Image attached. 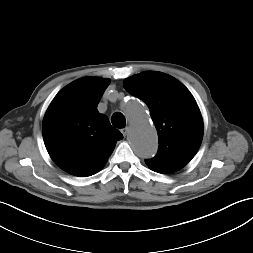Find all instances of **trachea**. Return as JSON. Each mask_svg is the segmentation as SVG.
<instances>
[{"mask_svg":"<svg viewBox=\"0 0 253 253\" xmlns=\"http://www.w3.org/2000/svg\"><path fill=\"white\" fill-rule=\"evenodd\" d=\"M111 122L114 127L116 128H123L125 127L126 120L122 113L116 112L112 115Z\"/></svg>","mask_w":253,"mask_h":253,"instance_id":"3493384b","label":"trachea"}]
</instances>
